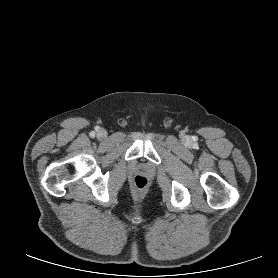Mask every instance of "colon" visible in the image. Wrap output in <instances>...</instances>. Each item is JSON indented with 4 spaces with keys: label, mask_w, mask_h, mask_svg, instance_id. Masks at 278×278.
<instances>
[{
    "label": "colon",
    "mask_w": 278,
    "mask_h": 278,
    "mask_svg": "<svg viewBox=\"0 0 278 278\" xmlns=\"http://www.w3.org/2000/svg\"><path fill=\"white\" fill-rule=\"evenodd\" d=\"M148 180L145 176L138 175L133 180V186L136 191L142 192L147 188Z\"/></svg>",
    "instance_id": "obj_1"
}]
</instances>
